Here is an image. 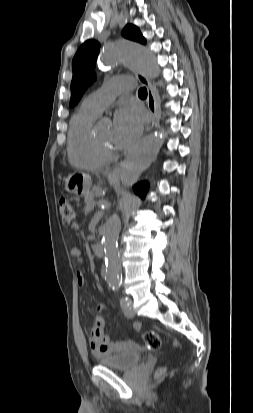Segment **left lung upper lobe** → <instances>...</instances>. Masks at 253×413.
Here are the masks:
<instances>
[{
    "mask_svg": "<svg viewBox=\"0 0 253 413\" xmlns=\"http://www.w3.org/2000/svg\"><path fill=\"white\" fill-rule=\"evenodd\" d=\"M122 35L140 43H146L140 30L131 24H128L122 31ZM100 44L95 40H87L76 52L73 62V78L71 82V99L70 107L75 106L81 99L83 93L95 79V64L99 53Z\"/></svg>",
    "mask_w": 253,
    "mask_h": 413,
    "instance_id": "5c2ea615",
    "label": "left lung upper lobe"
}]
</instances>
